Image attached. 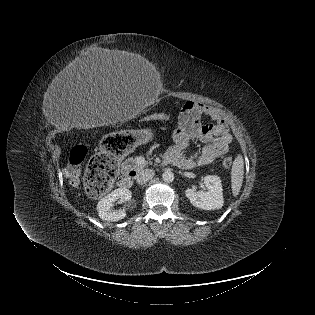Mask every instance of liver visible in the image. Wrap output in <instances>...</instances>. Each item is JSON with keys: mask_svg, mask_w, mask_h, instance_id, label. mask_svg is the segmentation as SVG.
Masks as SVG:
<instances>
[{"mask_svg": "<svg viewBox=\"0 0 315 315\" xmlns=\"http://www.w3.org/2000/svg\"><path fill=\"white\" fill-rule=\"evenodd\" d=\"M132 61V53L120 50L101 49L99 52L79 60L75 66L68 70L67 77H73L74 74L79 78L115 75L128 71ZM120 116L122 115H119L118 119H120ZM62 172L64 177L68 179L75 177L69 167H65Z\"/></svg>", "mask_w": 315, "mask_h": 315, "instance_id": "1", "label": "liver"}]
</instances>
